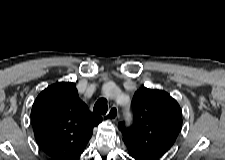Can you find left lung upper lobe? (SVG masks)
I'll use <instances>...</instances> for the list:
<instances>
[{"instance_id":"5c2ea615","label":"left lung upper lobe","mask_w":225,"mask_h":160,"mask_svg":"<svg viewBox=\"0 0 225 160\" xmlns=\"http://www.w3.org/2000/svg\"><path fill=\"white\" fill-rule=\"evenodd\" d=\"M132 109V125H118L128 152L141 160L162 158L182 127L179 104L165 91L142 87L134 95Z\"/></svg>"}]
</instances>
